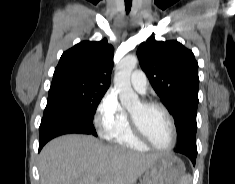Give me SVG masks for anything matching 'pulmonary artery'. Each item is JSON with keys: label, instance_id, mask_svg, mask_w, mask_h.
Listing matches in <instances>:
<instances>
[{"label": "pulmonary artery", "instance_id": "e3ab8cb5", "mask_svg": "<svg viewBox=\"0 0 235 184\" xmlns=\"http://www.w3.org/2000/svg\"><path fill=\"white\" fill-rule=\"evenodd\" d=\"M130 82L137 92L141 94L146 92L148 87V80L144 72L140 70L132 72L130 75Z\"/></svg>", "mask_w": 235, "mask_h": 184}]
</instances>
